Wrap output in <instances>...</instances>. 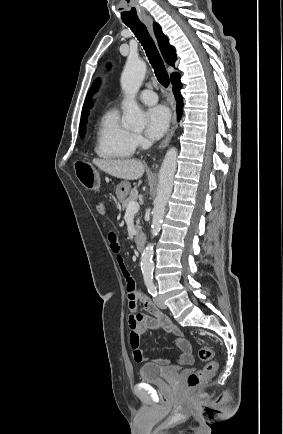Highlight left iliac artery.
<instances>
[{
  "label": "left iliac artery",
  "instance_id": "left-iliac-artery-1",
  "mask_svg": "<svg viewBox=\"0 0 283 434\" xmlns=\"http://www.w3.org/2000/svg\"><path fill=\"white\" fill-rule=\"evenodd\" d=\"M144 281L148 292L155 297L157 295V290L156 286L153 283V277L147 276L144 278Z\"/></svg>",
  "mask_w": 283,
  "mask_h": 434
}]
</instances>
